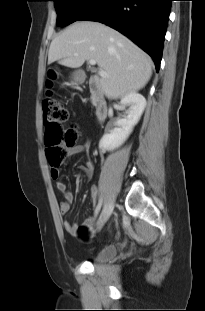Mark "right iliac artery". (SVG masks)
Wrapping results in <instances>:
<instances>
[{"mask_svg": "<svg viewBox=\"0 0 205 311\" xmlns=\"http://www.w3.org/2000/svg\"><path fill=\"white\" fill-rule=\"evenodd\" d=\"M101 206H102V199L99 200V203H98V205H97V207H96V210H95V213H96V214L99 212Z\"/></svg>", "mask_w": 205, "mask_h": 311, "instance_id": "1", "label": "right iliac artery"}]
</instances>
